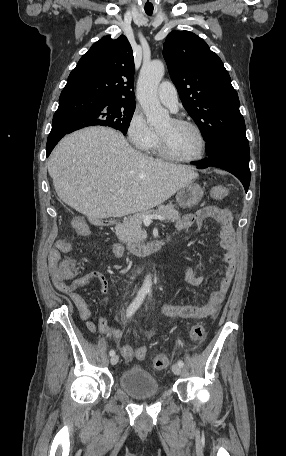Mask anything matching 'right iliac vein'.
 I'll return each instance as SVG.
<instances>
[{"label": "right iliac vein", "mask_w": 286, "mask_h": 456, "mask_svg": "<svg viewBox=\"0 0 286 456\" xmlns=\"http://www.w3.org/2000/svg\"><path fill=\"white\" fill-rule=\"evenodd\" d=\"M118 360H119L118 355H113V356L111 357V359H110V363H111L112 365H115V364H117Z\"/></svg>", "instance_id": "1"}]
</instances>
